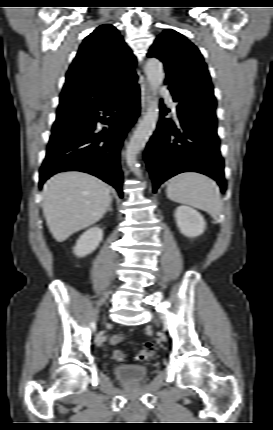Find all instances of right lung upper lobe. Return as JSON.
Returning <instances> with one entry per match:
<instances>
[{"label": "right lung upper lobe", "mask_w": 273, "mask_h": 430, "mask_svg": "<svg viewBox=\"0 0 273 430\" xmlns=\"http://www.w3.org/2000/svg\"><path fill=\"white\" fill-rule=\"evenodd\" d=\"M136 58L111 24L96 28L82 42L66 75L60 106L84 107L133 87Z\"/></svg>", "instance_id": "cb5924a9"}]
</instances>
